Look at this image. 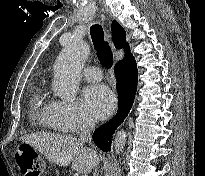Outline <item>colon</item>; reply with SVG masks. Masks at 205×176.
<instances>
[{"label":"colon","mask_w":205,"mask_h":176,"mask_svg":"<svg viewBox=\"0 0 205 176\" xmlns=\"http://www.w3.org/2000/svg\"><path fill=\"white\" fill-rule=\"evenodd\" d=\"M14 157L24 176H40L42 174L44 160L37 152L20 147L15 150Z\"/></svg>","instance_id":"colon-1"}]
</instances>
